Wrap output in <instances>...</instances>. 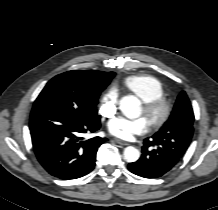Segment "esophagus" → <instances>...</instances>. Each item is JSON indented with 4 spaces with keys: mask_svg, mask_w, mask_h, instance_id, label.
Instances as JSON below:
<instances>
[{
    "mask_svg": "<svg viewBox=\"0 0 218 210\" xmlns=\"http://www.w3.org/2000/svg\"><path fill=\"white\" fill-rule=\"evenodd\" d=\"M114 140H115L116 143H118V144H120V145H123V146L129 145L128 142H125V141H123V140H121V139L115 138Z\"/></svg>",
    "mask_w": 218,
    "mask_h": 210,
    "instance_id": "obj_1",
    "label": "esophagus"
}]
</instances>
